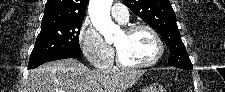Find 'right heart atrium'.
Segmentation results:
<instances>
[{"label":"right heart atrium","instance_id":"d8ad5b80","mask_svg":"<svg viewBox=\"0 0 225 92\" xmlns=\"http://www.w3.org/2000/svg\"><path fill=\"white\" fill-rule=\"evenodd\" d=\"M79 43L88 60L98 67L111 65L113 61L112 49L103 41L98 30L85 21L79 30Z\"/></svg>","mask_w":225,"mask_h":92}]
</instances>
